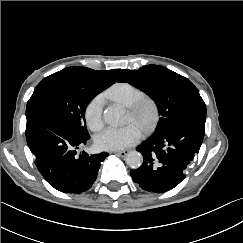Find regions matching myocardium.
I'll return each mask as SVG.
<instances>
[{"label": "myocardium", "instance_id": "myocardium-1", "mask_svg": "<svg viewBox=\"0 0 243 243\" xmlns=\"http://www.w3.org/2000/svg\"><path fill=\"white\" fill-rule=\"evenodd\" d=\"M129 111L136 117L143 115L145 111H149V120L142 127L146 133L150 132L156 125L159 118V107L157 101L150 95H143L136 102L128 106Z\"/></svg>", "mask_w": 243, "mask_h": 243}]
</instances>
